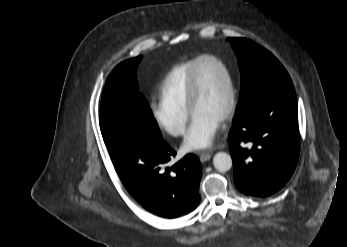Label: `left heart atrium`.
<instances>
[{
    "label": "left heart atrium",
    "instance_id": "obj_1",
    "mask_svg": "<svg viewBox=\"0 0 347 247\" xmlns=\"http://www.w3.org/2000/svg\"><path fill=\"white\" fill-rule=\"evenodd\" d=\"M221 121L203 114H193L192 122L185 136L184 152L201 150L210 146L219 130Z\"/></svg>",
    "mask_w": 347,
    "mask_h": 247
}]
</instances>
